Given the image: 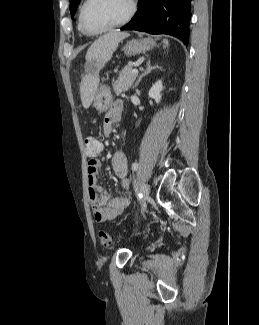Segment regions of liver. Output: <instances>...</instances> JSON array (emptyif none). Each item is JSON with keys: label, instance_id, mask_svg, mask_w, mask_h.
I'll return each instance as SVG.
<instances>
[{"label": "liver", "instance_id": "liver-1", "mask_svg": "<svg viewBox=\"0 0 259 325\" xmlns=\"http://www.w3.org/2000/svg\"><path fill=\"white\" fill-rule=\"evenodd\" d=\"M128 36L127 32L111 31L97 39L87 50L86 61L95 74L86 76L80 86L81 101L85 109L90 107L98 89V71L111 59L120 41Z\"/></svg>", "mask_w": 259, "mask_h": 325}]
</instances>
